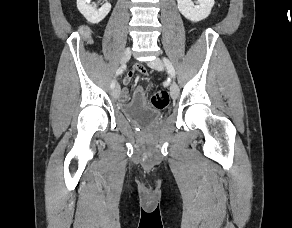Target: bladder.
Segmentation results:
<instances>
[{"label":"bladder","mask_w":292,"mask_h":228,"mask_svg":"<svg viewBox=\"0 0 292 228\" xmlns=\"http://www.w3.org/2000/svg\"><path fill=\"white\" fill-rule=\"evenodd\" d=\"M123 116L138 125H149L160 117L158 110L148 106L126 104L121 109Z\"/></svg>","instance_id":"obj_1"}]
</instances>
